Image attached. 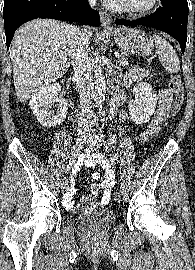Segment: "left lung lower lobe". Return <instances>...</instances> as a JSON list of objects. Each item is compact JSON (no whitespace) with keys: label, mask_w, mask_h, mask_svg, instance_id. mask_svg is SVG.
Wrapping results in <instances>:
<instances>
[{"label":"left lung lower lobe","mask_w":195,"mask_h":270,"mask_svg":"<svg viewBox=\"0 0 195 270\" xmlns=\"http://www.w3.org/2000/svg\"><path fill=\"white\" fill-rule=\"evenodd\" d=\"M155 13L134 21L117 19V25L136 27L142 25L164 31L174 37L184 53L187 42L188 3L187 0H161Z\"/></svg>","instance_id":"obj_1"}]
</instances>
